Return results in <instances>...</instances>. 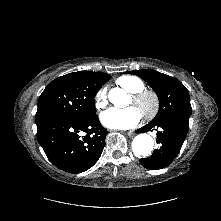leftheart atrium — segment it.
<instances>
[{"label":"left heart atrium","mask_w":221,"mask_h":221,"mask_svg":"<svg viewBox=\"0 0 221 221\" xmlns=\"http://www.w3.org/2000/svg\"><path fill=\"white\" fill-rule=\"evenodd\" d=\"M100 120L107 128L129 129L140 122L141 112L134 106L124 109L110 108L101 114Z\"/></svg>","instance_id":"39dd6f15"}]
</instances>
